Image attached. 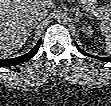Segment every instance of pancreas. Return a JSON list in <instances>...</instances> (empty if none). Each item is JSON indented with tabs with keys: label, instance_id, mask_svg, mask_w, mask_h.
<instances>
[{
	"label": "pancreas",
	"instance_id": "obj_1",
	"mask_svg": "<svg viewBox=\"0 0 111 106\" xmlns=\"http://www.w3.org/2000/svg\"><path fill=\"white\" fill-rule=\"evenodd\" d=\"M84 9L91 14H97L96 17L99 19L109 18L111 17V9H108L105 6H98L97 3L93 0H85L81 1Z\"/></svg>",
	"mask_w": 111,
	"mask_h": 106
}]
</instances>
